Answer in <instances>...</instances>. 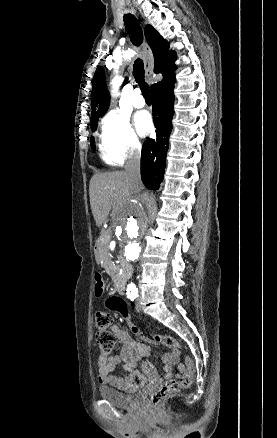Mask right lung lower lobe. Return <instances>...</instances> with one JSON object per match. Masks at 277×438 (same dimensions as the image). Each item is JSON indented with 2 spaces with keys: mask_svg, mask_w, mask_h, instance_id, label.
<instances>
[{
  "mask_svg": "<svg viewBox=\"0 0 277 438\" xmlns=\"http://www.w3.org/2000/svg\"><path fill=\"white\" fill-rule=\"evenodd\" d=\"M172 74L151 88L153 100V117L157 127V139L144 142L141 154V178L144 185L152 190L159 188L163 180L169 135L174 114V83Z\"/></svg>",
  "mask_w": 277,
  "mask_h": 438,
  "instance_id": "obj_1",
  "label": "right lung lower lobe"
}]
</instances>
